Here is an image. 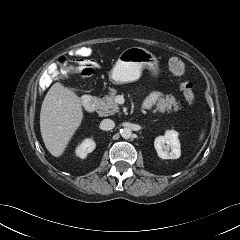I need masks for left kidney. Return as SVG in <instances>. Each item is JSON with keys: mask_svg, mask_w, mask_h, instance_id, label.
I'll return each mask as SVG.
<instances>
[{"mask_svg": "<svg viewBox=\"0 0 240 240\" xmlns=\"http://www.w3.org/2000/svg\"><path fill=\"white\" fill-rule=\"evenodd\" d=\"M154 147L162 159H178L181 155L178 133L174 130H168L164 136L156 137Z\"/></svg>", "mask_w": 240, "mask_h": 240, "instance_id": "5707ae66", "label": "left kidney"}]
</instances>
